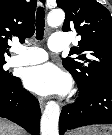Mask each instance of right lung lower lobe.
Wrapping results in <instances>:
<instances>
[{
    "label": "right lung lower lobe",
    "instance_id": "obj_1",
    "mask_svg": "<svg viewBox=\"0 0 112 135\" xmlns=\"http://www.w3.org/2000/svg\"><path fill=\"white\" fill-rule=\"evenodd\" d=\"M0 117L15 122L33 135H39V102L22 87L19 78L8 88L0 90Z\"/></svg>",
    "mask_w": 112,
    "mask_h": 135
}]
</instances>
